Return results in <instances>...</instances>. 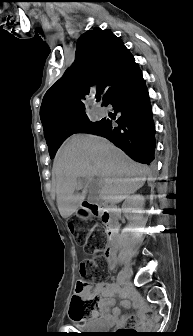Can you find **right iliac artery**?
Returning a JSON list of instances; mask_svg holds the SVG:
<instances>
[{
	"label": "right iliac artery",
	"mask_w": 193,
	"mask_h": 336,
	"mask_svg": "<svg viewBox=\"0 0 193 336\" xmlns=\"http://www.w3.org/2000/svg\"><path fill=\"white\" fill-rule=\"evenodd\" d=\"M116 282H117L116 285L122 283V272H121V271H120V272L118 273V275H117ZM117 291H118V289H114V292H117Z\"/></svg>",
	"instance_id": "82829eb1"
}]
</instances>
